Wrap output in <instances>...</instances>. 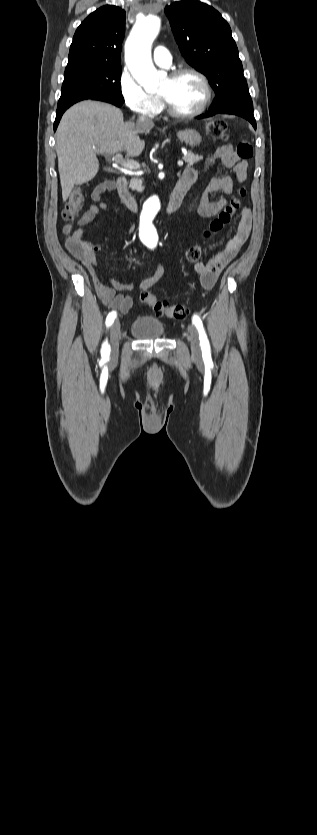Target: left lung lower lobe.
I'll use <instances>...</instances> for the list:
<instances>
[{
	"label": "left lung lower lobe",
	"mask_w": 317,
	"mask_h": 835,
	"mask_svg": "<svg viewBox=\"0 0 317 835\" xmlns=\"http://www.w3.org/2000/svg\"><path fill=\"white\" fill-rule=\"evenodd\" d=\"M233 114L247 119L256 129V121L253 114V109L241 105H230L225 108H211L207 113L198 116L197 118H207L215 114Z\"/></svg>",
	"instance_id": "1"
}]
</instances>
